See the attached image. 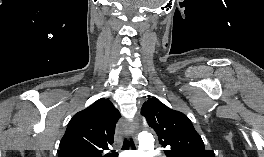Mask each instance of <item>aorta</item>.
Listing matches in <instances>:
<instances>
[{
	"label": "aorta",
	"instance_id": "1",
	"mask_svg": "<svg viewBox=\"0 0 264 157\" xmlns=\"http://www.w3.org/2000/svg\"><path fill=\"white\" fill-rule=\"evenodd\" d=\"M154 145L153 136L150 133H143L139 136V147L141 149H150Z\"/></svg>",
	"mask_w": 264,
	"mask_h": 157
}]
</instances>
